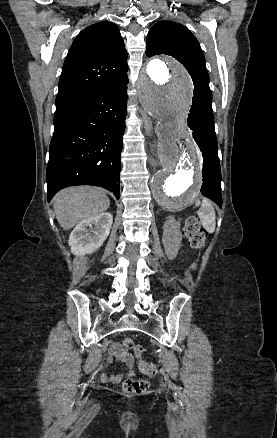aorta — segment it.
I'll return each instance as SVG.
<instances>
[{
	"label": "aorta",
	"mask_w": 277,
	"mask_h": 438,
	"mask_svg": "<svg viewBox=\"0 0 277 438\" xmlns=\"http://www.w3.org/2000/svg\"><path fill=\"white\" fill-rule=\"evenodd\" d=\"M191 91L187 71L169 58L150 60L139 74V101L157 120L161 167L152 179V191L157 203L170 211L190 205L202 182L201 155L186 126Z\"/></svg>",
	"instance_id": "762f6f07"
}]
</instances>
